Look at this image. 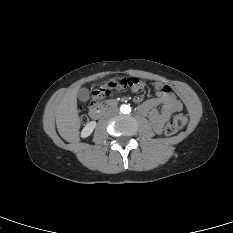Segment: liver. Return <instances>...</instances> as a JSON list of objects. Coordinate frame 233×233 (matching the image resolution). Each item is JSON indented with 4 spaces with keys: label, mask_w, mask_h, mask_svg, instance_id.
<instances>
[{
    "label": "liver",
    "mask_w": 233,
    "mask_h": 233,
    "mask_svg": "<svg viewBox=\"0 0 233 233\" xmlns=\"http://www.w3.org/2000/svg\"><path fill=\"white\" fill-rule=\"evenodd\" d=\"M78 88L65 93L57 105L56 126L60 136L68 141H74L79 134L80 118L77 110Z\"/></svg>",
    "instance_id": "liver-1"
}]
</instances>
